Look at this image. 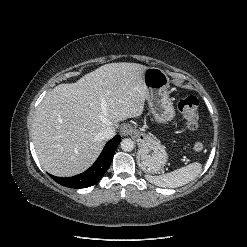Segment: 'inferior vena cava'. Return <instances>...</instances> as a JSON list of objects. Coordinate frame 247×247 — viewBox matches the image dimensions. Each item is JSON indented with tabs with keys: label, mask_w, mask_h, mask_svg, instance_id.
I'll return each instance as SVG.
<instances>
[{
	"label": "inferior vena cava",
	"mask_w": 247,
	"mask_h": 247,
	"mask_svg": "<svg viewBox=\"0 0 247 247\" xmlns=\"http://www.w3.org/2000/svg\"><path fill=\"white\" fill-rule=\"evenodd\" d=\"M101 136L105 140L112 139L115 136V128L108 127L104 131H102Z\"/></svg>",
	"instance_id": "602c4592"
}]
</instances>
